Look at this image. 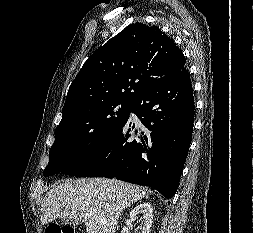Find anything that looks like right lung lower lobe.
<instances>
[{"mask_svg": "<svg viewBox=\"0 0 253 233\" xmlns=\"http://www.w3.org/2000/svg\"><path fill=\"white\" fill-rule=\"evenodd\" d=\"M130 112L142 125L136 127L128 116L102 147L61 173L151 186L170 199L178 188L193 131L188 70L183 67L156 81L133 101Z\"/></svg>", "mask_w": 253, "mask_h": 233, "instance_id": "right-lung-lower-lobe-1", "label": "right lung lower lobe"}]
</instances>
